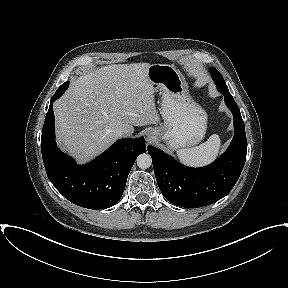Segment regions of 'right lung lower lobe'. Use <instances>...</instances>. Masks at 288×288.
I'll return each mask as SVG.
<instances>
[{
	"instance_id": "right-lung-lower-lobe-1",
	"label": "right lung lower lobe",
	"mask_w": 288,
	"mask_h": 288,
	"mask_svg": "<svg viewBox=\"0 0 288 288\" xmlns=\"http://www.w3.org/2000/svg\"><path fill=\"white\" fill-rule=\"evenodd\" d=\"M51 99L41 136V151L47 176L70 202L88 209H105L121 198L136 158L146 152L145 140L125 138L114 143L91 163L78 166L61 153L54 139V112Z\"/></svg>"
}]
</instances>
